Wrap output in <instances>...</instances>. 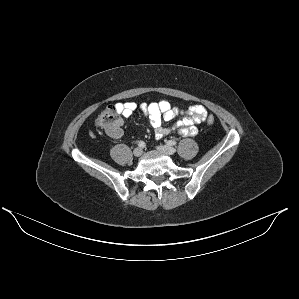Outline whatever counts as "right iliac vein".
<instances>
[{"instance_id": "63e3f726", "label": "right iliac vein", "mask_w": 299, "mask_h": 299, "mask_svg": "<svg viewBox=\"0 0 299 299\" xmlns=\"http://www.w3.org/2000/svg\"><path fill=\"white\" fill-rule=\"evenodd\" d=\"M142 153H143V150H142L141 148H139V147L135 148L134 151H133V154H134V156H136V157L141 156Z\"/></svg>"}]
</instances>
